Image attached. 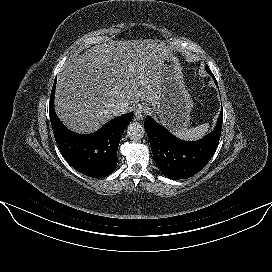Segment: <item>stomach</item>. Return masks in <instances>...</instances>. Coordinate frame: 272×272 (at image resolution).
I'll use <instances>...</instances> for the list:
<instances>
[{
	"label": "stomach",
	"mask_w": 272,
	"mask_h": 272,
	"mask_svg": "<svg viewBox=\"0 0 272 272\" xmlns=\"http://www.w3.org/2000/svg\"><path fill=\"white\" fill-rule=\"evenodd\" d=\"M150 106L160 122L174 132L186 129L190 123L193 101L186 89L180 62L172 53L162 62L160 91Z\"/></svg>",
	"instance_id": "obj_1"
}]
</instances>
